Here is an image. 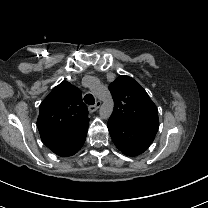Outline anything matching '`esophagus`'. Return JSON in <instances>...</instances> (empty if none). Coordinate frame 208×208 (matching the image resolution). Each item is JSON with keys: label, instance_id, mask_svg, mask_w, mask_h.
<instances>
[{"label": "esophagus", "instance_id": "1", "mask_svg": "<svg viewBox=\"0 0 208 208\" xmlns=\"http://www.w3.org/2000/svg\"><path fill=\"white\" fill-rule=\"evenodd\" d=\"M100 106H101V102H100V101H97L95 105H93V106H88V111H89L90 113H93V112H95L96 110H98V109L100 108Z\"/></svg>", "mask_w": 208, "mask_h": 208}]
</instances>
